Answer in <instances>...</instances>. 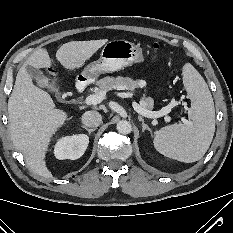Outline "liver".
Listing matches in <instances>:
<instances>
[{
	"label": "liver",
	"mask_w": 233,
	"mask_h": 233,
	"mask_svg": "<svg viewBox=\"0 0 233 233\" xmlns=\"http://www.w3.org/2000/svg\"><path fill=\"white\" fill-rule=\"evenodd\" d=\"M108 42L107 39L71 41L63 44L56 52V58L69 71L84 66L93 54ZM36 69L51 66L46 49L33 52L19 69L13 91L8 101V120L12 142L23 154L26 164L42 177H52L46 166V152L53 135L71 117L56 108L51 96L35 86L26 67Z\"/></svg>",
	"instance_id": "6515ba94"
}]
</instances>
